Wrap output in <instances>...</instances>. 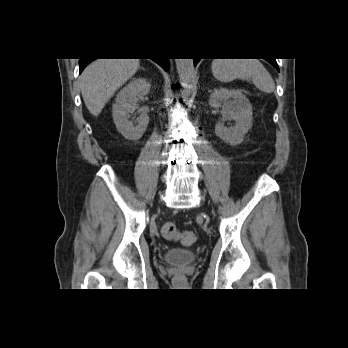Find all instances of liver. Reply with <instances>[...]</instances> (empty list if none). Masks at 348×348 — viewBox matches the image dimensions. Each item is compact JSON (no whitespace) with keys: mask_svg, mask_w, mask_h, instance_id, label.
Wrapping results in <instances>:
<instances>
[{"mask_svg":"<svg viewBox=\"0 0 348 348\" xmlns=\"http://www.w3.org/2000/svg\"><path fill=\"white\" fill-rule=\"evenodd\" d=\"M139 59H96L80 77V89L89 112L98 116L114 93L139 69Z\"/></svg>","mask_w":348,"mask_h":348,"instance_id":"liver-1","label":"liver"}]
</instances>
